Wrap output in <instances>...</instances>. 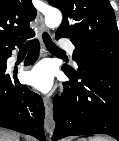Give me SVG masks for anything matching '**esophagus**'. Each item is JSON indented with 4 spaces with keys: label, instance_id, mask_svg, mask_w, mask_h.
Masks as SVG:
<instances>
[{
    "label": "esophagus",
    "instance_id": "34e87169",
    "mask_svg": "<svg viewBox=\"0 0 119 141\" xmlns=\"http://www.w3.org/2000/svg\"><path fill=\"white\" fill-rule=\"evenodd\" d=\"M36 23H37V26H38L39 40H40L41 46L43 48V55H45L46 51H45V48H44L42 35H43V32L46 30V26H45L44 18L42 16V14H40V13L37 14ZM44 107H45L44 127H45L47 132L52 133L54 128H55V122L53 120V105H52V101H51L49 96L44 97Z\"/></svg>",
    "mask_w": 119,
    "mask_h": 141
}]
</instances>
